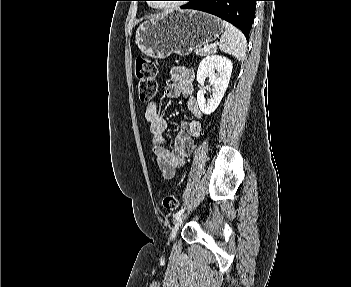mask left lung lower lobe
Returning <instances> with one entry per match:
<instances>
[{
  "label": "left lung lower lobe",
  "instance_id": "left-lung-lower-lobe-1",
  "mask_svg": "<svg viewBox=\"0 0 351 287\" xmlns=\"http://www.w3.org/2000/svg\"><path fill=\"white\" fill-rule=\"evenodd\" d=\"M183 9H195L218 16L238 27L248 40L258 0H187Z\"/></svg>",
  "mask_w": 351,
  "mask_h": 287
}]
</instances>
